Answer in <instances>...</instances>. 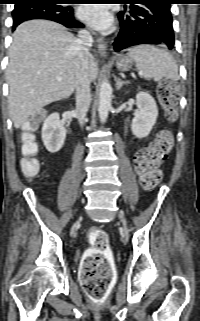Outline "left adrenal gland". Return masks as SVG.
I'll return each mask as SVG.
<instances>
[{
  "label": "left adrenal gland",
  "instance_id": "left-adrenal-gland-1",
  "mask_svg": "<svg viewBox=\"0 0 200 321\" xmlns=\"http://www.w3.org/2000/svg\"><path fill=\"white\" fill-rule=\"evenodd\" d=\"M128 84V81H123L120 78H116V89H121L123 85Z\"/></svg>",
  "mask_w": 200,
  "mask_h": 321
}]
</instances>
